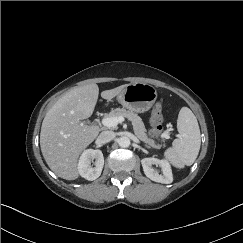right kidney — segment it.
I'll list each match as a JSON object with an SVG mask.
<instances>
[{"label":"right kidney","mask_w":243,"mask_h":243,"mask_svg":"<svg viewBox=\"0 0 243 243\" xmlns=\"http://www.w3.org/2000/svg\"><path fill=\"white\" fill-rule=\"evenodd\" d=\"M94 162V167L91 166V162ZM104 166V157L101 150L87 149L85 150L79 160L78 170L79 174L87 180L97 179L102 172Z\"/></svg>","instance_id":"right-kidney-1"}]
</instances>
